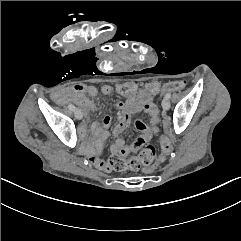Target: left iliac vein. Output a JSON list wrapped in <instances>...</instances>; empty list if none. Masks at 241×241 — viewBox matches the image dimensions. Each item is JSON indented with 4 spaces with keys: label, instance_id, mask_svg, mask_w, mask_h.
Wrapping results in <instances>:
<instances>
[{
    "label": "left iliac vein",
    "instance_id": "1",
    "mask_svg": "<svg viewBox=\"0 0 241 241\" xmlns=\"http://www.w3.org/2000/svg\"><path fill=\"white\" fill-rule=\"evenodd\" d=\"M162 107L164 110H169L170 108V102L168 101V99L164 98L162 101Z\"/></svg>",
    "mask_w": 241,
    "mask_h": 241
}]
</instances>
